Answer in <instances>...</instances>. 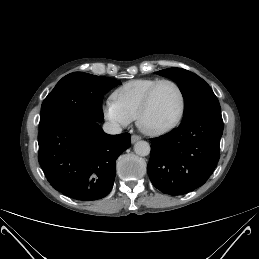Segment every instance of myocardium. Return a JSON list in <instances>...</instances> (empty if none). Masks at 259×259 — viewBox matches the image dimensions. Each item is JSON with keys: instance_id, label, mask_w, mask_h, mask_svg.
<instances>
[{"instance_id": "obj_1", "label": "myocardium", "mask_w": 259, "mask_h": 259, "mask_svg": "<svg viewBox=\"0 0 259 259\" xmlns=\"http://www.w3.org/2000/svg\"><path fill=\"white\" fill-rule=\"evenodd\" d=\"M163 83H169L176 88V90L179 94V98H180L179 112H178L177 116L175 117V119L172 122H170L168 125L161 127V128H157V129H151L144 125L143 120H144L146 113L148 112V110L150 108L155 90L158 88V86H160ZM185 107H186L185 94H184V91L181 88V86L172 79H160L149 88V90L147 91V93L143 99V102L140 106V109H139L137 117H136L137 126L143 133H145L147 135H150V136L164 135V134L172 131L174 128H176L178 126V124L181 122V120L184 116Z\"/></svg>"}]
</instances>
